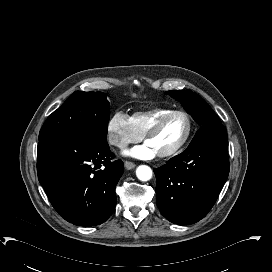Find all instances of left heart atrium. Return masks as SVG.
<instances>
[{"mask_svg": "<svg viewBox=\"0 0 272 272\" xmlns=\"http://www.w3.org/2000/svg\"><path fill=\"white\" fill-rule=\"evenodd\" d=\"M126 154L135 158L147 160L153 158L157 153L148 142H145L144 144L128 150Z\"/></svg>", "mask_w": 272, "mask_h": 272, "instance_id": "1", "label": "left heart atrium"}]
</instances>
